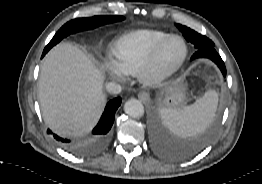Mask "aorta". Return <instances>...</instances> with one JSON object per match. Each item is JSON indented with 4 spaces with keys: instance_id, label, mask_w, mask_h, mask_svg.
Segmentation results:
<instances>
[{
    "instance_id": "aorta-1",
    "label": "aorta",
    "mask_w": 262,
    "mask_h": 184,
    "mask_svg": "<svg viewBox=\"0 0 262 184\" xmlns=\"http://www.w3.org/2000/svg\"><path fill=\"white\" fill-rule=\"evenodd\" d=\"M124 111L133 118H140L144 115V106L141 101L131 98L125 102Z\"/></svg>"
}]
</instances>
